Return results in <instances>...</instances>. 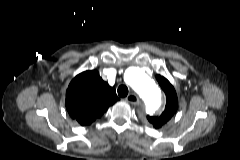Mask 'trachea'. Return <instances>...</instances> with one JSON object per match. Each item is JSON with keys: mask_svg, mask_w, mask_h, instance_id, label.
Returning <instances> with one entry per match:
<instances>
[{"mask_svg": "<svg viewBox=\"0 0 240 160\" xmlns=\"http://www.w3.org/2000/svg\"><path fill=\"white\" fill-rule=\"evenodd\" d=\"M117 92H118V95H119L120 97L124 98V97H126V96L128 95V88H127L126 85H120V86L118 87Z\"/></svg>", "mask_w": 240, "mask_h": 160, "instance_id": "obj_1", "label": "trachea"}]
</instances>
